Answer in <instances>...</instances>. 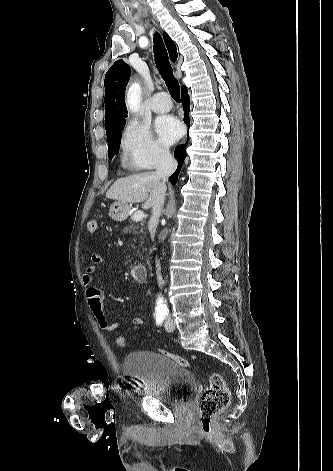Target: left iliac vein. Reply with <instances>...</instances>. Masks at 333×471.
<instances>
[{"label":"left iliac vein","mask_w":333,"mask_h":471,"mask_svg":"<svg viewBox=\"0 0 333 471\" xmlns=\"http://www.w3.org/2000/svg\"><path fill=\"white\" fill-rule=\"evenodd\" d=\"M164 326H165L166 331H168V332H172L175 329V324H174L173 320L170 317H168L166 319Z\"/></svg>","instance_id":"1"}]
</instances>
